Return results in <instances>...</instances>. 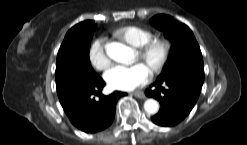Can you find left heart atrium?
Wrapping results in <instances>:
<instances>
[{"label": "left heart atrium", "mask_w": 247, "mask_h": 145, "mask_svg": "<svg viewBox=\"0 0 247 145\" xmlns=\"http://www.w3.org/2000/svg\"><path fill=\"white\" fill-rule=\"evenodd\" d=\"M104 78L111 88L129 91L146 84L151 78V72L142 62L117 64L105 72Z\"/></svg>", "instance_id": "39dd6f15"}]
</instances>
